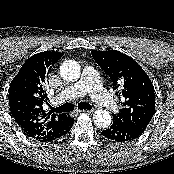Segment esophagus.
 Masks as SVG:
<instances>
[{"mask_svg": "<svg viewBox=\"0 0 174 174\" xmlns=\"http://www.w3.org/2000/svg\"><path fill=\"white\" fill-rule=\"evenodd\" d=\"M93 109H91V110H79L78 112H80V113H93Z\"/></svg>", "mask_w": 174, "mask_h": 174, "instance_id": "obj_1", "label": "esophagus"}]
</instances>
